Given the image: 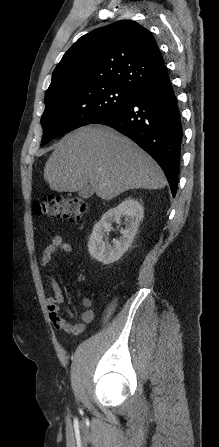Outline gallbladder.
Here are the masks:
<instances>
[{"mask_svg": "<svg viewBox=\"0 0 219 447\" xmlns=\"http://www.w3.org/2000/svg\"><path fill=\"white\" fill-rule=\"evenodd\" d=\"M78 195L83 199H88L93 195V190L89 185H86L78 191Z\"/></svg>", "mask_w": 219, "mask_h": 447, "instance_id": "gallbladder-1", "label": "gallbladder"}]
</instances>
